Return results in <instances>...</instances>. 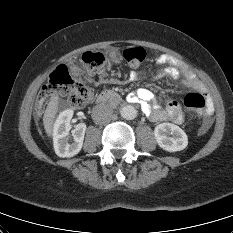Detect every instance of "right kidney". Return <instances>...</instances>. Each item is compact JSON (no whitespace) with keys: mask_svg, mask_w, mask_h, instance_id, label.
<instances>
[{"mask_svg":"<svg viewBox=\"0 0 233 233\" xmlns=\"http://www.w3.org/2000/svg\"><path fill=\"white\" fill-rule=\"evenodd\" d=\"M73 116L72 109H66L58 116L53 130V143L55 153L59 157H73L78 154L83 146L86 124L80 123L72 131L73 141L69 143L70 120Z\"/></svg>","mask_w":233,"mask_h":233,"instance_id":"ca27d5eb","label":"right kidney"}]
</instances>
